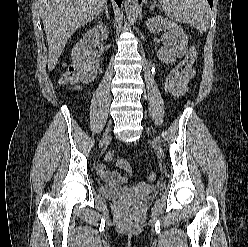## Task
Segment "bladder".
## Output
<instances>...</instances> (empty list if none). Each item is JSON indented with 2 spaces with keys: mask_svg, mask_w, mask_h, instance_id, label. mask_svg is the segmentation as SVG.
Listing matches in <instances>:
<instances>
[{
  "mask_svg": "<svg viewBox=\"0 0 248 247\" xmlns=\"http://www.w3.org/2000/svg\"><path fill=\"white\" fill-rule=\"evenodd\" d=\"M131 191H133L132 187H121L107 184H101L99 186V192L101 195L115 200L122 199L126 193Z\"/></svg>",
  "mask_w": 248,
  "mask_h": 247,
  "instance_id": "31cf9c89",
  "label": "bladder"
}]
</instances>
